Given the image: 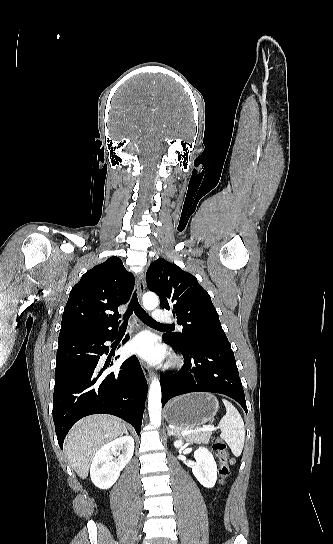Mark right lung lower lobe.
Listing matches in <instances>:
<instances>
[{
    "label": "right lung lower lobe",
    "mask_w": 333,
    "mask_h": 544,
    "mask_svg": "<svg viewBox=\"0 0 333 544\" xmlns=\"http://www.w3.org/2000/svg\"><path fill=\"white\" fill-rule=\"evenodd\" d=\"M116 330L60 343L56 356L53 420L59 446L70 428L91 414H112L132 424L140 433L147 382L135 355L109 370L101 359ZM129 339L127 335L123 340ZM117 359V358H115ZM113 365V362H111ZM110 365V366H111Z\"/></svg>",
    "instance_id": "right-lung-lower-lobe-1"
}]
</instances>
